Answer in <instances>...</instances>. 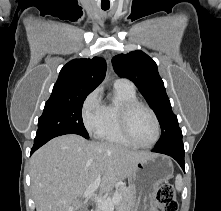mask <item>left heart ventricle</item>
<instances>
[{
  "label": "left heart ventricle",
  "instance_id": "left-heart-ventricle-1",
  "mask_svg": "<svg viewBox=\"0 0 221 211\" xmlns=\"http://www.w3.org/2000/svg\"><path fill=\"white\" fill-rule=\"evenodd\" d=\"M130 127L134 139L139 143L148 144L155 137L153 118L144 108H138L132 113Z\"/></svg>",
  "mask_w": 221,
  "mask_h": 211
}]
</instances>
